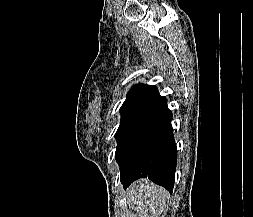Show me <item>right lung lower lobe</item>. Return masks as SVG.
Returning a JSON list of instances; mask_svg holds the SVG:
<instances>
[{
	"label": "right lung lower lobe",
	"mask_w": 253,
	"mask_h": 217,
	"mask_svg": "<svg viewBox=\"0 0 253 217\" xmlns=\"http://www.w3.org/2000/svg\"><path fill=\"white\" fill-rule=\"evenodd\" d=\"M171 119L167 100L160 97L127 131L115 153L124 188L139 178L148 177L172 192L177 148Z\"/></svg>",
	"instance_id": "right-lung-lower-lobe-1"
}]
</instances>
